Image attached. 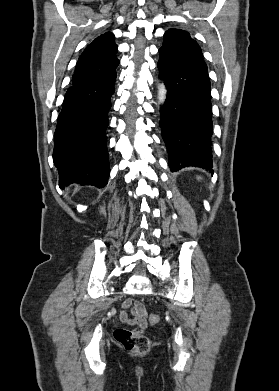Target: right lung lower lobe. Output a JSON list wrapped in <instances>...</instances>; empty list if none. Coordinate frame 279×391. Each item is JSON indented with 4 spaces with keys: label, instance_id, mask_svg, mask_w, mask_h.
Returning <instances> with one entry per match:
<instances>
[{
    "label": "right lung lower lobe",
    "instance_id": "98d812e1",
    "mask_svg": "<svg viewBox=\"0 0 279 391\" xmlns=\"http://www.w3.org/2000/svg\"><path fill=\"white\" fill-rule=\"evenodd\" d=\"M115 80L113 72L67 90L54 134L53 161L60 188L72 183L98 188L107 184L106 128Z\"/></svg>",
    "mask_w": 279,
    "mask_h": 391
}]
</instances>
